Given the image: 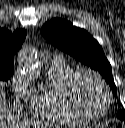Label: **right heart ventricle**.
Masks as SVG:
<instances>
[{"instance_id":"obj_1","label":"right heart ventricle","mask_w":125,"mask_h":128,"mask_svg":"<svg viewBox=\"0 0 125 128\" xmlns=\"http://www.w3.org/2000/svg\"><path fill=\"white\" fill-rule=\"evenodd\" d=\"M76 71L63 60L50 62L47 80L41 89L33 91L31 113L37 117L64 124L78 125L87 120L70 105L66 96V84Z\"/></svg>"}]
</instances>
